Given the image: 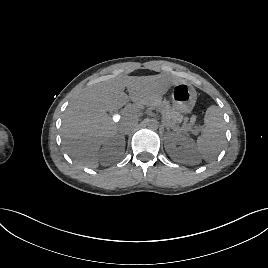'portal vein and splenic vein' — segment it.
I'll use <instances>...</instances> for the list:
<instances>
[{
    "mask_svg": "<svg viewBox=\"0 0 268 268\" xmlns=\"http://www.w3.org/2000/svg\"><path fill=\"white\" fill-rule=\"evenodd\" d=\"M124 113H129V112H131L130 110H124L123 111Z\"/></svg>",
    "mask_w": 268,
    "mask_h": 268,
    "instance_id": "portal-vein-and-splenic-vein-1",
    "label": "portal vein and splenic vein"
}]
</instances>
